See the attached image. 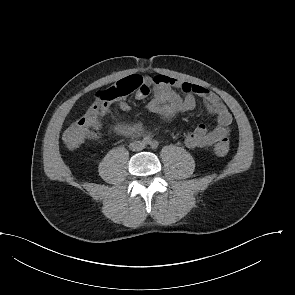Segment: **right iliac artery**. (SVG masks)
<instances>
[{"label": "right iliac artery", "instance_id": "right-iliac-artery-1", "mask_svg": "<svg viewBox=\"0 0 295 295\" xmlns=\"http://www.w3.org/2000/svg\"><path fill=\"white\" fill-rule=\"evenodd\" d=\"M142 142H143L144 144L148 145V144L151 143V139H150V137H144L143 140H142Z\"/></svg>", "mask_w": 295, "mask_h": 295}]
</instances>
